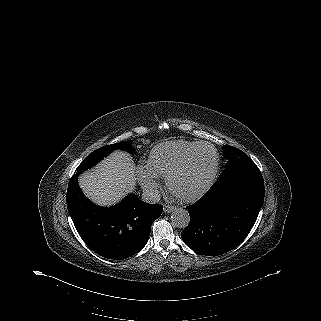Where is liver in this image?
Returning a JSON list of instances; mask_svg holds the SVG:
<instances>
[{"label":"liver","mask_w":321,"mask_h":321,"mask_svg":"<svg viewBox=\"0 0 321 321\" xmlns=\"http://www.w3.org/2000/svg\"><path fill=\"white\" fill-rule=\"evenodd\" d=\"M135 166L132 158L124 152L115 151L96 168L79 177L84 194L101 206L117 203L134 190Z\"/></svg>","instance_id":"liver-1"}]
</instances>
